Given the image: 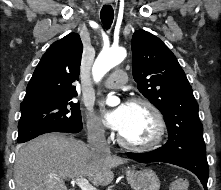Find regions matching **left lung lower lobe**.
<instances>
[{"mask_svg": "<svg viewBox=\"0 0 221 190\" xmlns=\"http://www.w3.org/2000/svg\"><path fill=\"white\" fill-rule=\"evenodd\" d=\"M127 156L140 163L166 162L188 169L200 179L204 189L207 190L209 167L206 151L175 149L169 138L164 146L156 150L145 153H127Z\"/></svg>", "mask_w": 221, "mask_h": 190, "instance_id": "left-lung-lower-lobe-1", "label": "left lung lower lobe"}]
</instances>
